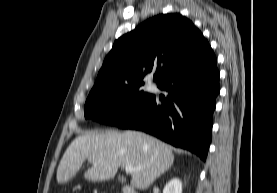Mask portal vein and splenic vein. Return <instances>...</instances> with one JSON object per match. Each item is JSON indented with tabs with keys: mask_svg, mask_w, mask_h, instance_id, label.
<instances>
[{
	"mask_svg": "<svg viewBox=\"0 0 277 193\" xmlns=\"http://www.w3.org/2000/svg\"><path fill=\"white\" fill-rule=\"evenodd\" d=\"M125 171H126V173H132L134 171V167H132V166H126L125 167Z\"/></svg>",
	"mask_w": 277,
	"mask_h": 193,
	"instance_id": "portal-vein-and-splenic-vein-1",
	"label": "portal vein and splenic vein"
}]
</instances>
